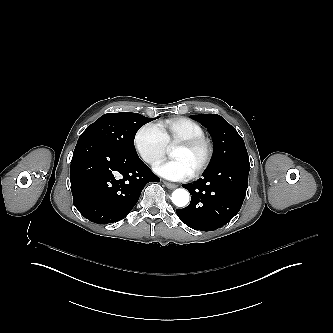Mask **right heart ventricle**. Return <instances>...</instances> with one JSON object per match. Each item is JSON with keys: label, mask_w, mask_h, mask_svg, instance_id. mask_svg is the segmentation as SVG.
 <instances>
[{"label": "right heart ventricle", "mask_w": 333, "mask_h": 333, "mask_svg": "<svg viewBox=\"0 0 333 333\" xmlns=\"http://www.w3.org/2000/svg\"><path fill=\"white\" fill-rule=\"evenodd\" d=\"M167 146L190 138L204 137L202 127L195 121L185 117H173L159 125Z\"/></svg>", "instance_id": "right-heart-ventricle-1"}]
</instances>
